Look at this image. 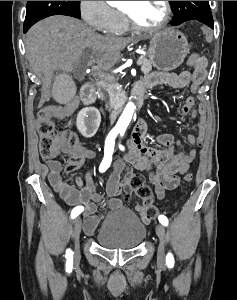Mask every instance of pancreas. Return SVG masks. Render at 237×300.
Returning a JSON list of instances; mask_svg holds the SVG:
<instances>
[{
  "instance_id": "obj_1",
  "label": "pancreas",
  "mask_w": 237,
  "mask_h": 300,
  "mask_svg": "<svg viewBox=\"0 0 237 300\" xmlns=\"http://www.w3.org/2000/svg\"><path fill=\"white\" fill-rule=\"evenodd\" d=\"M141 61V71L144 73V75H148L150 71H152V63L151 61H148V59H145V57H139L138 61ZM138 63V62H137ZM138 65V64H137ZM99 85H100V95L103 97V99H106V95H108V103H111V101H114V89L115 85H118L117 79H115L114 75H109V73H105L104 77H101L99 79ZM110 95L112 99H110Z\"/></svg>"
}]
</instances>
